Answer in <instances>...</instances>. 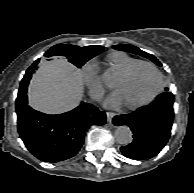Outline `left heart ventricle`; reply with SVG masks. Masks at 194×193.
<instances>
[{
  "label": "left heart ventricle",
  "instance_id": "obj_1",
  "mask_svg": "<svg viewBox=\"0 0 194 193\" xmlns=\"http://www.w3.org/2000/svg\"><path fill=\"white\" fill-rule=\"evenodd\" d=\"M113 86L124 104H137L152 95L157 86V75L151 67L141 66L126 80L118 76Z\"/></svg>",
  "mask_w": 194,
  "mask_h": 193
}]
</instances>
